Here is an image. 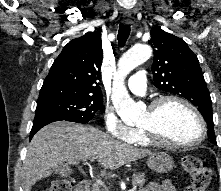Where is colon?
Here are the masks:
<instances>
[{
	"label": "colon",
	"instance_id": "5ec220e1",
	"mask_svg": "<svg viewBox=\"0 0 221 191\" xmlns=\"http://www.w3.org/2000/svg\"><path fill=\"white\" fill-rule=\"evenodd\" d=\"M182 166L190 176V183L184 191H207L212 178V171L206 162L197 156H186ZM74 178L62 177L53 180L46 191H72Z\"/></svg>",
	"mask_w": 221,
	"mask_h": 191
}]
</instances>
